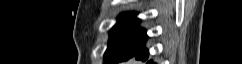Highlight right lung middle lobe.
I'll return each instance as SVG.
<instances>
[{
    "label": "right lung middle lobe",
    "instance_id": "obj_1",
    "mask_svg": "<svg viewBox=\"0 0 242 64\" xmlns=\"http://www.w3.org/2000/svg\"><path fill=\"white\" fill-rule=\"evenodd\" d=\"M139 19L133 14H123L110 31L108 48L104 54V64H116L129 59L145 49L148 38L145 30L137 28Z\"/></svg>",
    "mask_w": 242,
    "mask_h": 64
}]
</instances>
